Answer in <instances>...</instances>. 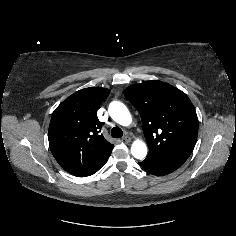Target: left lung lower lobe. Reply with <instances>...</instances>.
<instances>
[{
	"label": "left lung lower lobe",
	"instance_id": "obj_1",
	"mask_svg": "<svg viewBox=\"0 0 236 236\" xmlns=\"http://www.w3.org/2000/svg\"><path fill=\"white\" fill-rule=\"evenodd\" d=\"M139 164L147 172L156 176L170 174L182 165L181 163L158 162L147 158L144 161L139 162Z\"/></svg>",
	"mask_w": 236,
	"mask_h": 236
}]
</instances>
